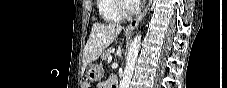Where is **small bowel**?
Masks as SVG:
<instances>
[{
	"label": "small bowel",
	"instance_id": "obj_1",
	"mask_svg": "<svg viewBox=\"0 0 227 88\" xmlns=\"http://www.w3.org/2000/svg\"><path fill=\"white\" fill-rule=\"evenodd\" d=\"M113 79H116V78L111 77L107 81L99 83L98 88H112L113 86H112L111 80Z\"/></svg>",
	"mask_w": 227,
	"mask_h": 88
}]
</instances>
